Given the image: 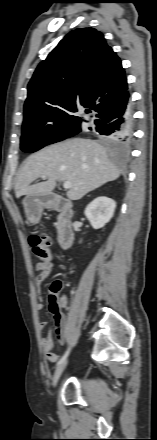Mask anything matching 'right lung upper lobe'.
Here are the masks:
<instances>
[{
    "instance_id": "cb5924a9",
    "label": "right lung upper lobe",
    "mask_w": 157,
    "mask_h": 440,
    "mask_svg": "<svg viewBox=\"0 0 157 440\" xmlns=\"http://www.w3.org/2000/svg\"><path fill=\"white\" fill-rule=\"evenodd\" d=\"M129 97L121 60L94 28L71 31L42 61L28 84L23 124H79L82 105L99 113Z\"/></svg>"
}]
</instances>
